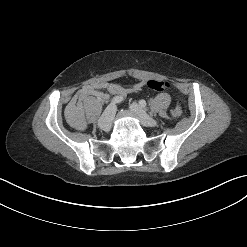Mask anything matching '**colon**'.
Returning a JSON list of instances; mask_svg holds the SVG:
<instances>
[{
  "instance_id": "5ec220e1",
  "label": "colon",
  "mask_w": 247,
  "mask_h": 247,
  "mask_svg": "<svg viewBox=\"0 0 247 247\" xmlns=\"http://www.w3.org/2000/svg\"><path fill=\"white\" fill-rule=\"evenodd\" d=\"M147 86L154 91H170L171 85L168 82L160 81V80H150L147 83ZM181 100L177 99L176 101V107L173 110V114L175 117H178L181 113Z\"/></svg>"
}]
</instances>
